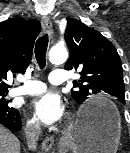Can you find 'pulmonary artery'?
<instances>
[{
  "label": "pulmonary artery",
  "mask_w": 130,
  "mask_h": 153,
  "mask_svg": "<svg viewBox=\"0 0 130 153\" xmlns=\"http://www.w3.org/2000/svg\"><path fill=\"white\" fill-rule=\"evenodd\" d=\"M66 79V73L62 70L53 71L49 74V81L53 85L63 84L66 81ZM45 90V83L37 80H29L25 82L24 86L11 89L9 91V95H36L44 92Z\"/></svg>",
  "instance_id": "obj_1"
}]
</instances>
